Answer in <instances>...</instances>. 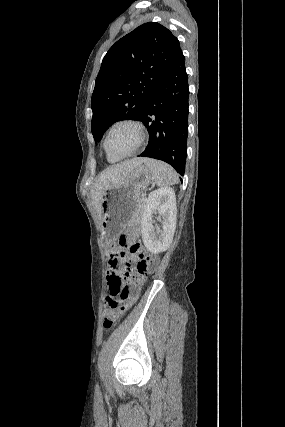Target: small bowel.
<instances>
[{
    "label": "small bowel",
    "instance_id": "obj_1",
    "mask_svg": "<svg viewBox=\"0 0 285 427\" xmlns=\"http://www.w3.org/2000/svg\"><path fill=\"white\" fill-rule=\"evenodd\" d=\"M126 257H127V255H126V254H123V255H122L120 258H118V259L110 258V260H109V268H108V270H107V275H110V274H113V273H116V274H122L123 270H122V268L120 267L119 262H120V259H121V260H125V259H126ZM157 262H158V258L154 257V258H153V263H154V265H155V264H157ZM109 290H110V293H111V292H112L111 288H109ZM132 303H133V301H127V302H125V303L121 306V308L119 309V313H120V314H122V313H124L125 311H127V310L129 309V307L132 305Z\"/></svg>",
    "mask_w": 285,
    "mask_h": 427
}]
</instances>
